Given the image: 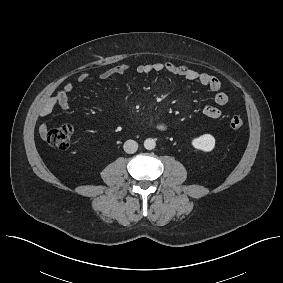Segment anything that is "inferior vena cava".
<instances>
[{
  "label": "inferior vena cava",
  "instance_id": "inferior-vena-cava-1",
  "mask_svg": "<svg viewBox=\"0 0 283 283\" xmlns=\"http://www.w3.org/2000/svg\"><path fill=\"white\" fill-rule=\"evenodd\" d=\"M124 151L128 154H132V153H135L138 149V144L136 141L134 140H127L125 143H124Z\"/></svg>",
  "mask_w": 283,
  "mask_h": 283
}]
</instances>
